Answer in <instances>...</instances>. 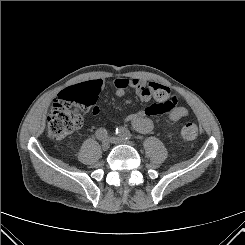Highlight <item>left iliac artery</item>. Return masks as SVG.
Listing matches in <instances>:
<instances>
[{
  "label": "left iliac artery",
  "mask_w": 245,
  "mask_h": 245,
  "mask_svg": "<svg viewBox=\"0 0 245 245\" xmlns=\"http://www.w3.org/2000/svg\"><path fill=\"white\" fill-rule=\"evenodd\" d=\"M116 134L123 139H131L132 135L130 131L124 127H119L116 129Z\"/></svg>",
  "instance_id": "obj_1"
}]
</instances>
